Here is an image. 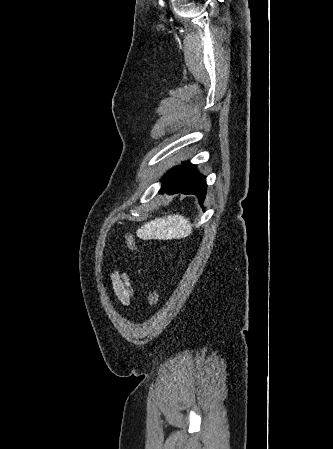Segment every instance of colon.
<instances>
[{"instance_id": "colon-1", "label": "colon", "mask_w": 333, "mask_h": 449, "mask_svg": "<svg viewBox=\"0 0 333 449\" xmlns=\"http://www.w3.org/2000/svg\"><path fill=\"white\" fill-rule=\"evenodd\" d=\"M124 238H125V242H126L128 248L131 251H133L135 253H139L140 252V246H139L136 238L132 234L126 233ZM148 302H149V304L151 306H155V305L158 304V302H159V294H158V292L156 290L151 289L148 292Z\"/></svg>"}]
</instances>
